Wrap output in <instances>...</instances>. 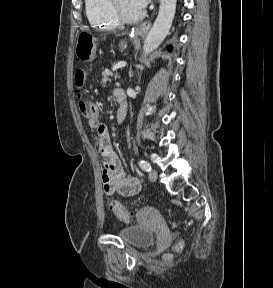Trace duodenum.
Segmentation results:
<instances>
[{
  "instance_id": "obj_1",
  "label": "duodenum",
  "mask_w": 273,
  "mask_h": 288,
  "mask_svg": "<svg viewBox=\"0 0 273 288\" xmlns=\"http://www.w3.org/2000/svg\"><path fill=\"white\" fill-rule=\"evenodd\" d=\"M115 97H116L118 103L120 104V109H119L118 115H117L118 121L122 122L123 119L125 118V115H126V108H127L126 97H125L124 92L121 90H116Z\"/></svg>"
}]
</instances>
